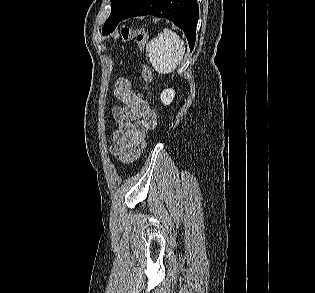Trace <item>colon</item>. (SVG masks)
Returning <instances> with one entry per match:
<instances>
[{
    "mask_svg": "<svg viewBox=\"0 0 315 293\" xmlns=\"http://www.w3.org/2000/svg\"><path fill=\"white\" fill-rule=\"evenodd\" d=\"M122 41L127 42L130 39H135L141 48V52H144V48L146 47V43L148 41L147 34L142 29H134L131 27H124L121 31ZM142 78L145 83H150L152 81V73L147 65L143 66L142 69ZM133 78H118L116 82L113 83V93L114 94H129L131 91V85H133ZM145 146V142H142L137 150L135 151L133 157L130 161H133L139 157L143 148Z\"/></svg>",
    "mask_w": 315,
    "mask_h": 293,
    "instance_id": "5ec220e1",
    "label": "colon"
}]
</instances>
